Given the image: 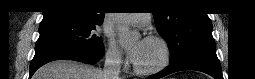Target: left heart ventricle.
I'll return each mask as SVG.
<instances>
[{"mask_svg": "<svg viewBox=\"0 0 255 79\" xmlns=\"http://www.w3.org/2000/svg\"><path fill=\"white\" fill-rule=\"evenodd\" d=\"M130 28L133 30H137L139 26L134 24L130 25ZM161 59H162L161 46L156 42L145 40L141 54L135 63L140 68L149 69L158 65Z\"/></svg>", "mask_w": 255, "mask_h": 79, "instance_id": "b2bd125f", "label": "left heart ventricle"}]
</instances>
